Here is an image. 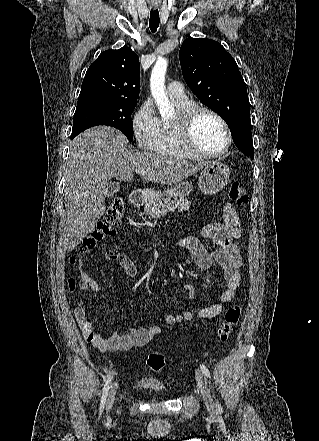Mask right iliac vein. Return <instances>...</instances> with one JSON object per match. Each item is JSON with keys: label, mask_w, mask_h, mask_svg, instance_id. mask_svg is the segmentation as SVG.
<instances>
[{"label": "right iliac vein", "mask_w": 319, "mask_h": 441, "mask_svg": "<svg viewBox=\"0 0 319 441\" xmlns=\"http://www.w3.org/2000/svg\"><path fill=\"white\" fill-rule=\"evenodd\" d=\"M117 388H118V386H117V384H115L110 391L108 402H107V409L108 410H110L114 404Z\"/></svg>", "instance_id": "1"}]
</instances>
